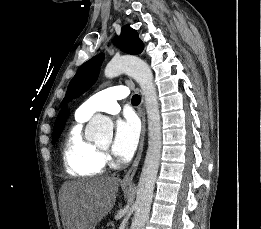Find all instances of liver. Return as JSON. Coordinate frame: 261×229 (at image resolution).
<instances>
[{"label":"liver","instance_id":"liver-1","mask_svg":"<svg viewBox=\"0 0 261 229\" xmlns=\"http://www.w3.org/2000/svg\"><path fill=\"white\" fill-rule=\"evenodd\" d=\"M120 179L95 177L64 185V225L67 229H95L116 201Z\"/></svg>","mask_w":261,"mask_h":229}]
</instances>
